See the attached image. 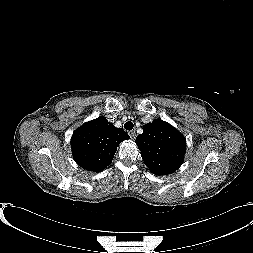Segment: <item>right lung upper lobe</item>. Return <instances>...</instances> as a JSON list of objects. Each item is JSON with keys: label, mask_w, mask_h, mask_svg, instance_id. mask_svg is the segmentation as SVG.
Wrapping results in <instances>:
<instances>
[{"label": "right lung upper lobe", "mask_w": 253, "mask_h": 253, "mask_svg": "<svg viewBox=\"0 0 253 253\" xmlns=\"http://www.w3.org/2000/svg\"><path fill=\"white\" fill-rule=\"evenodd\" d=\"M129 135L116 128L105 117H99L75 130L71 138L76 163L88 171H101L111 162L117 146Z\"/></svg>", "instance_id": "1"}]
</instances>
